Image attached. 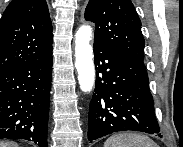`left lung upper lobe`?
Masks as SVG:
<instances>
[{"mask_svg": "<svg viewBox=\"0 0 183 147\" xmlns=\"http://www.w3.org/2000/svg\"><path fill=\"white\" fill-rule=\"evenodd\" d=\"M85 19L94 22V41L144 62L140 18L130 0H89Z\"/></svg>", "mask_w": 183, "mask_h": 147, "instance_id": "1", "label": "left lung upper lobe"}]
</instances>
